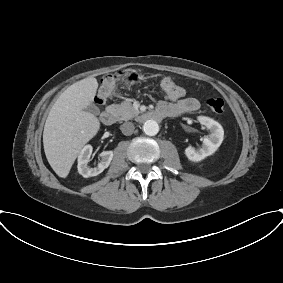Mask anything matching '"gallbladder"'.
<instances>
[{"label": "gallbladder", "mask_w": 283, "mask_h": 283, "mask_svg": "<svg viewBox=\"0 0 283 283\" xmlns=\"http://www.w3.org/2000/svg\"><path fill=\"white\" fill-rule=\"evenodd\" d=\"M86 111H88V112H90L94 115L99 114V109L95 105H90L89 107L86 108Z\"/></svg>", "instance_id": "1"}]
</instances>
